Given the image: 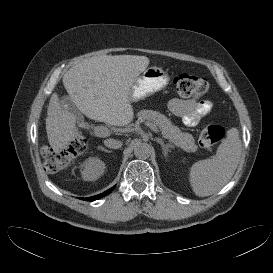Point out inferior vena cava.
<instances>
[{"mask_svg": "<svg viewBox=\"0 0 273 273\" xmlns=\"http://www.w3.org/2000/svg\"><path fill=\"white\" fill-rule=\"evenodd\" d=\"M104 145L108 148L118 149L122 146V142L116 139H106Z\"/></svg>", "mask_w": 273, "mask_h": 273, "instance_id": "obj_1", "label": "inferior vena cava"}]
</instances>
